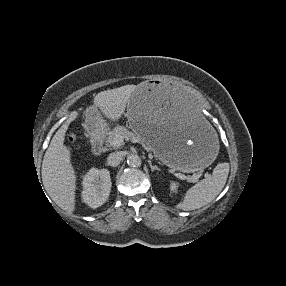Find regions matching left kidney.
Wrapping results in <instances>:
<instances>
[{
    "label": "left kidney",
    "instance_id": "obj_1",
    "mask_svg": "<svg viewBox=\"0 0 286 286\" xmlns=\"http://www.w3.org/2000/svg\"><path fill=\"white\" fill-rule=\"evenodd\" d=\"M170 189H171L173 192H176V190H177V183L172 182L171 185H170Z\"/></svg>",
    "mask_w": 286,
    "mask_h": 286
}]
</instances>
